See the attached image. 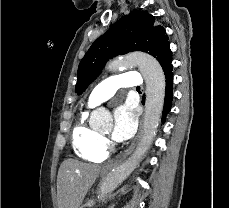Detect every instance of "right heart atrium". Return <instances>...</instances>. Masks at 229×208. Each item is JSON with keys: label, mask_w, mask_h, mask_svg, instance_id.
<instances>
[{"label": "right heart atrium", "mask_w": 229, "mask_h": 208, "mask_svg": "<svg viewBox=\"0 0 229 208\" xmlns=\"http://www.w3.org/2000/svg\"><path fill=\"white\" fill-rule=\"evenodd\" d=\"M109 147H110V142H109V140L106 139V138H102V139H101V148H102L103 150H107Z\"/></svg>", "instance_id": "1"}]
</instances>
